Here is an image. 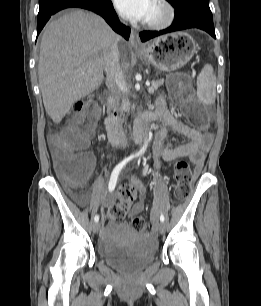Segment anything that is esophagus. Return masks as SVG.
I'll list each match as a JSON object with an SVG mask.
<instances>
[{
  "label": "esophagus",
  "mask_w": 261,
  "mask_h": 306,
  "mask_svg": "<svg viewBox=\"0 0 261 306\" xmlns=\"http://www.w3.org/2000/svg\"><path fill=\"white\" fill-rule=\"evenodd\" d=\"M130 47L134 50H139L142 48V44L140 42L137 31L134 29L131 30L130 39H129Z\"/></svg>",
  "instance_id": "esophagus-1"
}]
</instances>
